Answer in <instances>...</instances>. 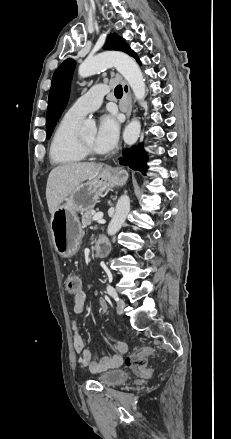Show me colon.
Listing matches in <instances>:
<instances>
[{"label":"colon","instance_id":"5ec220e1","mask_svg":"<svg viewBox=\"0 0 231 439\" xmlns=\"http://www.w3.org/2000/svg\"><path fill=\"white\" fill-rule=\"evenodd\" d=\"M81 287L87 290L86 286H83L80 276H69L65 281V288L69 295H77V291ZM153 354H155V349L152 347L140 348L126 357L125 364L138 375L149 377L151 369L148 367L147 358Z\"/></svg>","mask_w":231,"mask_h":439}]
</instances>
